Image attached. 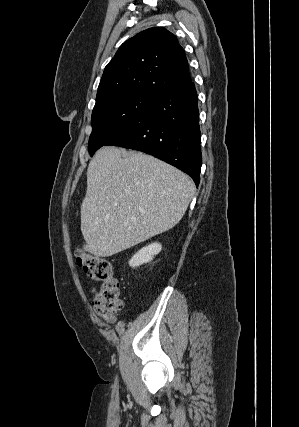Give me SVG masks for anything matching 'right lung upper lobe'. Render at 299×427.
<instances>
[{
	"label": "right lung upper lobe",
	"mask_w": 299,
	"mask_h": 427,
	"mask_svg": "<svg viewBox=\"0 0 299 427\" xmlns=\"http://www.w3.org/2000/svg\"><path fill=\"white\" fill-rule=\"evenodd\" d=\"M190 82L185 52L176 36L153 27L120 46L105 67L96 102L121 93L156 98Z\"/></svg>",
	"instance_id": "obj_1"
}]
</instances>
